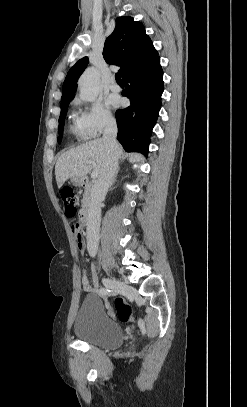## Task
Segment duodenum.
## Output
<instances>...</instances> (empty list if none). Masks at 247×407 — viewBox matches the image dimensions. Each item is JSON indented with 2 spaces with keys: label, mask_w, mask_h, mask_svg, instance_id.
<instances>
[{
  "label": "duodenum",
  "mask_w": 247,
  "mask_h": 407,
  "mask_svg": "<svg viewBox=\"0 0 247 407\" xmlns=\"http://www.w3.org/2000/svg\"><path fill=\"white\" fill-rule=\"evenodd\" d=\"M79 220L84 225H87L90 220V207L85 205L81 208L79 212Z\"/></svg>",
  "instance_id": "duodenum-1"
}]
</instances>
